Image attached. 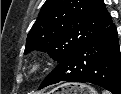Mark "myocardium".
<instances>
[{
    "instance_id": "myocardium-1",
    "label": "myocardium",
    "mask_w": 121,
    "mask_h": 94,
    "mask_svg": "<svg viewBox=\"0 0 121 94\" xmlns=\"http://www.w3.org/2000/svg\"><path fill=\"white\" fill-rule=\"evenodd\" d=\"M44 66L45 63L43 59L33 58L25 64L24 69L31 76H37L42 72Z\"/></svg>"
}]
</instances>
